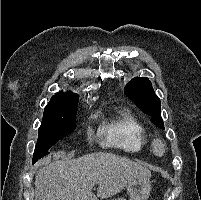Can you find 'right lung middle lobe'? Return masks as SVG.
Wrapping results in <instances>:
<instances>
[{"instance_id": "dd1d6c3e", "label": "right lung middle lobe", "mask_w": 201, "mask_h": 200, "mask_svg": "<svg viewBox=\"0 0 201 200\" xmlns=\"http://www.w3.org/2000/svg\"><path fill=\"white\" fill-rule=\"evenodd\" d=\"M77 106L78 101L48 103L38 131L34 162L47 155L51 146L76 129Z\"/></svg>"}]
</instances>
